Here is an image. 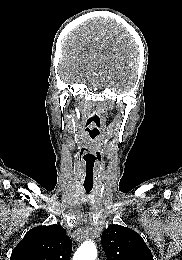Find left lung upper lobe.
<instances>
[{
    "instance_id": "obj_1",
    "label": "left lung upper lobe",
    "mask_w": 182,
    "mask_h": 260,
    "mask_svg": "<svg viewBox=\"0 0 182 260\" xmlns=\"http://www.w3.org/2000/svg\"><path fill=\"white\" fill-rule=\"evenodd\" d=\"M107 260H153L142 237L132 229L110 225L101 236Z\"/></svg>"
}]
</instances>
